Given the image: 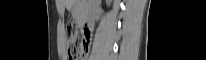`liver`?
Returning <instances> with one entry per match:
<instances>
[{"label":"liver","instance_id":"liver-1","mask_svg":"<svg viewBox=\"0 0 206 60\" xmlns=\"http://www.w3.org/2000/svg\"><path fill=\"white\" fill-rule=\"evenodd\" d=\"M63 2H64L66 5H71L72 3H74V0H63Z\"/></svg>","mask_w":206,"mask_h":60}]
</instances>
